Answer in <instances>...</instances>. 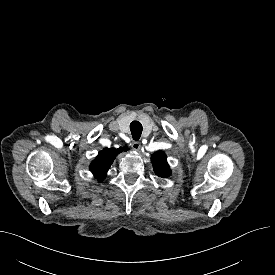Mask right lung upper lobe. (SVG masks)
Returning <instances> with one entry per match:
<instances>
[{
	"mask_svg": "<svg viewBox=\"0 0 275 275\" xmlns=\"http://www.w3.org/2000/svg\"><path fill=\"white\" fill-rule=\"evenodd\" d=\"M123 150L126 151L127 147H124V149L122 147L119 149L106 148L98 154L90 164V170L97 180L102 181L106 177L107 171L115 157Z\"/></svg>",
	"mask_w": 275,
	"mask_h": 275,
	"instance_id": "right-lung-upper-lobe-1",
	"label": "right lung upper lobe"
}]
</instances>
